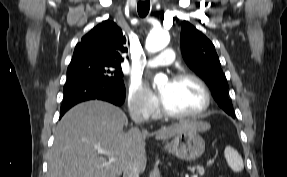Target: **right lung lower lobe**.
Segmentation results:
<instances>
[{
  "label": "right lung lower lobe",
  "instance_id": "1",
  "mask_svg": "<svg viewBox=\"0 0 287 177\" xmlns=\"http://www.w3.org/2000/svg\"><path fill=\"white\" fill-rule=\"evenodd\" d=\"M63 91L60 118L67 110L80 102L97 99L120 106L125 100L123 81L110 83L92 77H77L67 79Z\"/></svg>",
  "mask_w": 287,
  "mask_h": 177
}]
</instances>
